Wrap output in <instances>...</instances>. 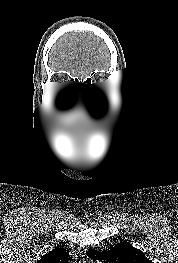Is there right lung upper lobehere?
<instances>
[{"instance_id": "1", "label": "right lung upper lobe", "mask_w": 178, "mask_h": 263, "mask_svg": "<svg viewBox=\"0 0 178 263\" xmlns=\"http://www.w3.org/2000/svg\"><path fill=\"white\" fill-rule=\"evenodd\" d=\"M69 260L71 258L66 249L56 247L55 250L43 255L37 263H67Z\"/></svg>"}]
</instances>
